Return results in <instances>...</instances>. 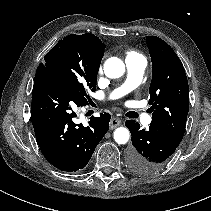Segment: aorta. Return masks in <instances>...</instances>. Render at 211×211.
Returning a JSON list of instances; mask_svg holds the SVG:
<instances>
[{
	"label": "aorta",
	"mask_w": 211,
	"mask_h": 211,
	"mask_svg": "<svg viewBox=\"0 0 211 211\" xmlns=\"http://www.w3.org/2000/svg\"><path fill=\"white\" fill-rule=\"evenodd\" d=\"M125 72V64L117 57L108 58L104 63V73L108 78H119ZM130 137L129 131L125 127H119L114 131V140L118 144H125Z\"/></svg>",
	"instance_id": "1"
}]
</instances>
